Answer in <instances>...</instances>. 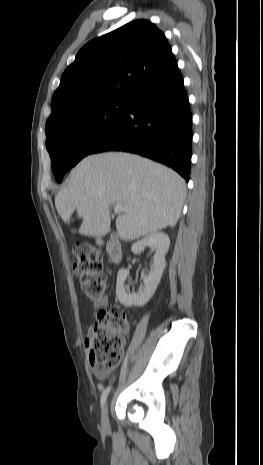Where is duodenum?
I'll return each mask as SVG.
<instances>
[{"mask_svg":"<svg viewBox=\"0 0 263 465\" xmlns=\"http://www.w3.org/2000/svg\"><path fill=\"white\" fill-rule=\"evenodd\" d=\"M109 259L113 263H119L122 259V247L118 241H108L105 245Z\"/></svg>","mask_w":263,"mask_h":465,"instance_id":"1","label":"duodenum"}]
</instances>
